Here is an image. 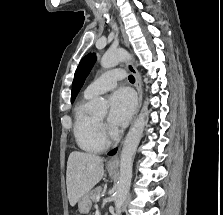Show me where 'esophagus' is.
Masks as SVG:
<instances>
[{"label": "esophagus", "mask_w": 223, "mask_h": 215, "mask_svg": "<svg viewBox=\"0 0 223 215\" xmlns=\"http://www.w3.org/2000/svg\"><path fill=\"white\" fill-rule=\"evenodd\" d=\"M119 23H120V29H121V32H122L123 43L126 45V47H129L128 38H127V35L125 33V30H124V27L122 25V22L120 21ZM125 66L134 75L135 80H136L135 87H136L137 92H138V104H137V108H136V111H135V115L133 117V121H134L135 118H136V115L139 112V109L141 107V104H142V85H141V78H140V75H139L137 69L134 67V65L132 63L127 62L125 64ZM118 163H119V157H118V153H117L113 157H110V159L107 162V167L118 166Z\"/></svg>", "instance_id": "34e87169"}]
</instances>
